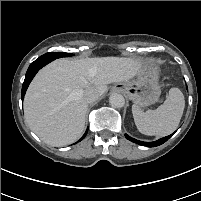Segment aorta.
Instances as JSON below:
<instances>
[{"instance_id": "aorta-1", "label": "aorta", "mask_w": 201, "mask_h": 201, "mask_svg": "<svg viewBox=\"0 0 201 201\" xmlns=\"http://www.w3.org/2000/svg\"><path fill=\"white\" fill-rule=\"evenodd\" d=\"M109 103L112 107L122 108L125 104V99L121 94L113 93L109 97Z\"/></svg>"}]
</instances>
